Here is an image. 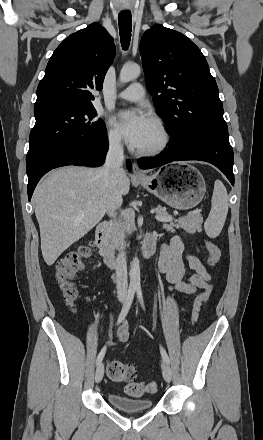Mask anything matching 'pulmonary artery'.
Listing matches in <instances>:
<instances>
[{"mask_svg": "<svg viewBox=\"0 0 263 440\" xmlns=\"http://www.w3.org/2000/svg\"><path fill=\"white\" fill-rule=\"evenodd\" d=\"M145 96V90L140 83H132L126 89L117 94V98L136 102L140 101Z\"/></svg>", "mask_w": 263, "mask_h": 440, "instance_id": "obj_1", "label": "pulmonary artery"}]
</instances>
